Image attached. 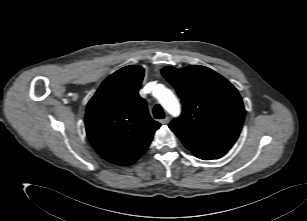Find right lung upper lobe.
<instances>
[{
    "instance_id": "1",
    "label": "right lung upper lobe",
    "mask_w": 307,
    "mask_h": 221,
    "mask_svg": "<svg viewBox=\"0 0 307 221\" xmlns=\"http://www.w3.org/2000/svg\"><path fill=\"white\" fill-rule=\"evenodd\" d=\"M141 66H126L103 81L87 105L85 126L94 149L107 161L131 165L148 149L161 126L138 95Z\"/></svg>"
}]
</instances>
